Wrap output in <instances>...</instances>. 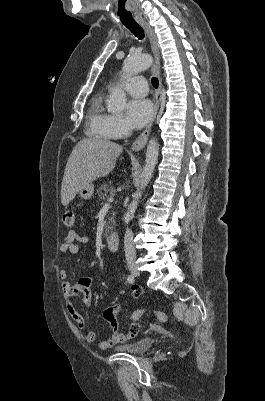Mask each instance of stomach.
Returning a JSON list of instances; mask_svg holds the SVG:
<instances>
[{"mask_svg":"<svg viewBox=\"0 0 265 401\" xmlns=\"http://www.w3.org/2000/svg\"><path fill=\"white\" fill-rule=\"evenodd\" d=\"M93 192L94 184H92V182H89V184H84V186L80 188L79 196H81V198H85V201H88V198H91Z\"/></svg>","mask_w":265,"mask_h":401,"instance_id":"0dacf381","label":"stomach"}]
</instances>
